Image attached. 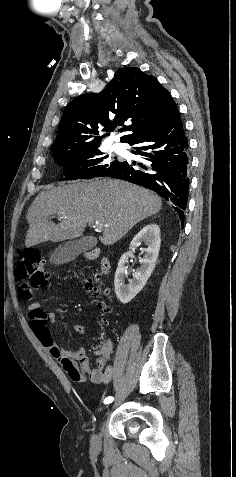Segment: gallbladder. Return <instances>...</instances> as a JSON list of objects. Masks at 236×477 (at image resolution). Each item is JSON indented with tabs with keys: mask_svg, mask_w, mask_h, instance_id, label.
Here are the masks:
<instances>
[{
	"mask_svg": "<svg viewBox=\"0 0 236 477\" xmlns=\"http://www.w3.org/2000/svg\"><path fill=\"white\" fill-rule=\"evenodd\" d=\"M95 245L96 239L90 236L69 240L56 248L50 259L57 264L69 262L83 251L92 249Z\"/></svg>",
	"mask_w": 236,
	"mask_h": 477,
	"instance_id": "1",
	"label": "gallbladder"
}]
</instances>
